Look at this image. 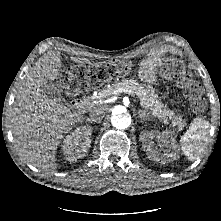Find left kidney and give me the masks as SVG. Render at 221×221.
<instances>
[{"mask_svg":"<svg viewBox=\"0 0 221 221\" xmlns=\"http://www.w3.org/2000/svg\"><path fill=\"white\" fill-rule=\"evenodd\" d=\"M153 139H156L160 147L164 149L163 153L155 147ZM140 140L147 156L153 161L166 163L175 160L177 157L175 140L168 131H163L162 133L155 131L144 132L140 136Z\"/></svg>","mask_w":221,"mask_h":221,"instance_id":"left-kidney-1","label":"left kidney"}]
</instances>
